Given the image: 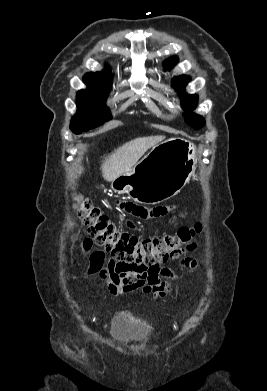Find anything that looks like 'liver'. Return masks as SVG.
Returning <instances> with one entry per match:
<instances>
[{
  "label": "liver",
  "instance_id": "obj_1",
  "mask_svg": "<svg viewBox=\"0 0 267 391\" xmlns=\"http://www.w3.org/2000/svg\"><path fill=\"white\" fill-rule=\"evenodd\" d=\"M165 139V136L140 137L131 140L108 155L101 165L102 176L113 182L129 171L144 153Z\"/></svg>",
  "mask_w": 267,
  "mask_h": 391
}]
</instances>
